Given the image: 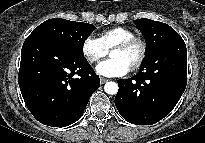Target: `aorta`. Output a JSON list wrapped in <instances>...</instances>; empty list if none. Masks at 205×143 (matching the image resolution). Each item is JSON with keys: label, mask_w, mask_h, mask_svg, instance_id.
<instances>
[{"label": "aorta", "mask_w": 205, "mask_h": 143, "mask_svg": "<svg viewBox=\"0 0 205 143\" xmlns=\"http://www.w3.org/2000/svg\"><path fill=\"white\" fill-rule=\"evenodd\" d=\"M104 90L107 94L115 95L118 92V85L115 82H107L104 86Z\"/></svg>", "instance_id": "1"}]
</instances>
